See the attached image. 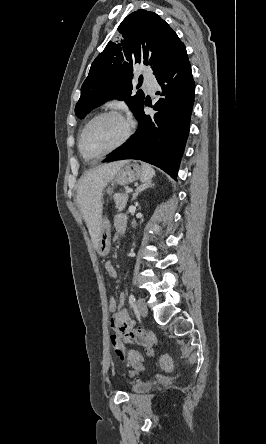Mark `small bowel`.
Wrapping results in <instances>:
<instances>
[{
	"label": "small bowel",
	"mask_w": 266,
	"mask_h": 444,
	"mask_svg": "<svg viewBox=\"0 0 266 444\" xmlns=\"http://www.w3.org/2000/svg\"><path fill=\"white\" fill-rule=\"evenodd\" d=\"M114 226V238L117 239L125 231L126 217L124 215H117L114 219ZM105 269L111 278H117V271L112 262H106ZM124 300L125 295L122 293L119 298L118 309L110 319V327L113 330V333L110 336L111 347L121 360H126L128 358L122 341L145 347L149 354L151 353L150 345L153 341V336L148 334L144 328H130L132 321L127 309L124 307ZM131 368L134 372H140L143 370L142 365H131Z\"/></svg>",
	"instance_id": "obj_1"
}]
</instances>
